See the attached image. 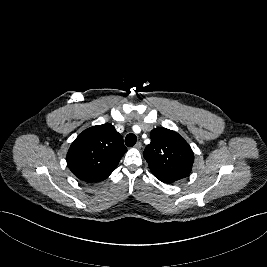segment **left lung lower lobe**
Segmentation results:
<instances>
[{
    "label": "left lung lower lobe",
    "instance_id": "1",
    "mask_svg": "<svg viewBox=\"0 0 267 267\" xmlns=\"http://www.w3.org/2000/svg\"><path fill=\"white\" fill-rule=\"evenodd\" d=\"M161 181V180H160ZM162 182H164V183H173V182H171V181H162Z\"/></svg>",
    "mask_w": 267,
    "mask_h": 267
}]
</instances>
